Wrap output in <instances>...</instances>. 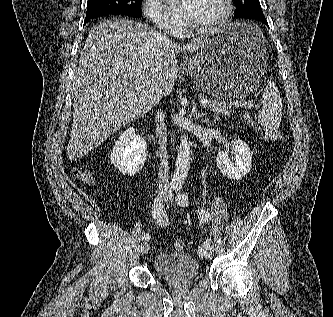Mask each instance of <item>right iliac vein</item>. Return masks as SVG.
I'll list each match as a JSON object with an SVG mask.
<instances>
[{
  "mask_svg": "<svg viewBox=\"0 0 333 317\" xmlns=\"http://www.w3.org/2000/svg\"><path fill=\"white\" fill-rule=\"evenodd\" d=\"M149 248H150V246H149L148 242L143 241V242L141 243V245H140V252H141V254H142V255L147 254L148 251H149Z\"/></svg>",
  "mask_w": 333,
  "mask_h": 317,
  "instance_id": "obj_1",
  "label": "right iliac vein"
}]
</instances>
